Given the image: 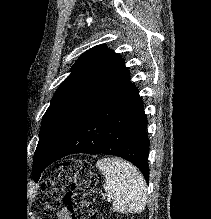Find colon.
Segmentation results:
<instances>
[{"instance_id": "colon-1", "label": "colon", "mask_w": 211, "mask_h": 219, "mask_svg": "<svg viewBox=\"0 0 211 219\" xmlns=\"http://www.w3.org/2000/svg\"><path fill=\"white\" fill-rule=\"evenodd\" d=\"M96 185L97 178L86 161L61 162L42 185L40 199L44 212L53 213L63 202L71 219H103L94 206Z\"/></svg>"}]
</instances>
